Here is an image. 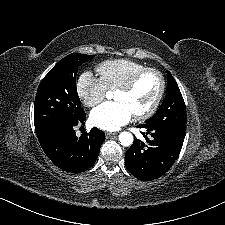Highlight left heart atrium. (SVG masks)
I'll return each instance as SVG.
<instances>
[{"mask_svg":"<svg viewBox=\"0 0 225 225\" xmlns=\"http://www.w3.org/2000/svg\"><path fill=\"white\" fill-rule=\"evenodd\" d=\"M132 115V112L123 103L106 102L91 112L90 119L94 126L114 131L127 124Z\"/></svg>","mask_w":225,"mask_h":225,"instance_id":"left-heart-atrium-1","label":"left heart atrium"}]
</instances>
